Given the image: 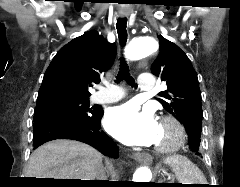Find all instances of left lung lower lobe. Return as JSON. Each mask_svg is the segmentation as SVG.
<instances>
[{
    "instance_id": "left-lung-lower-lobe-1",
    "label": "left lung lower lobe",
    "mask_w": 240,
    "mask_h": 187,
    "mask_svg": "<svg viewBox=\"0 0 240 187\" xmlns=\"http://www.w3.org/2000/svg\"><path fill=\"white\" fill-rule=\"evenodd\" d=\"M196 140V135L195 134H190L189 135V145H192L194 141ZM192 150V149H191ZM197 153V152H196Z\"/></svg>"
}]
</instances>
